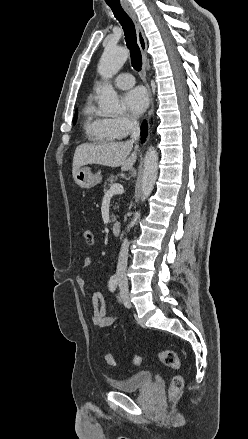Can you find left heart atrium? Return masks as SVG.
Segmentation results:
<instances>
[{"label":"left heart atrium","instance_id":"1","mask_svg":"<svg viewBox=\"0 0 248 439\" xmlns=\"http://www.w3.org/2000/svg\"><path fill=\"white\" fill-rule=\"evenodd\" d=\"M123 102L133 115L139 116L148 107L149 97L144 88L136 87L124 94Z\"/></svg>","mask_w":248,"mask_h":439}]
</instances>
